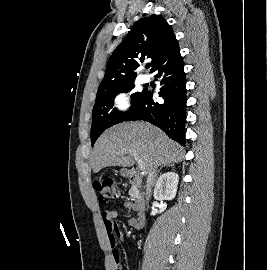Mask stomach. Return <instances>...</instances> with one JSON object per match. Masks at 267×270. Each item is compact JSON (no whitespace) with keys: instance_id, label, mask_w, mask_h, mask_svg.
I'll return each instance as SVG.
<instances>
[{"instance_id":"obj_1","label":"stomach","mask_w":267,"mask_h":270,"mask_svg":"<svg viewBox=\"0 0 267 270\" xmlns=\"http://www.w3.org/2000/svg\"><path fill=\"white\" fill-rule=\"evenodd\" d=\"M128 171L126 169H122L121 170V175L125 176L127 175Z\"/></svg>"}]
</instances>
